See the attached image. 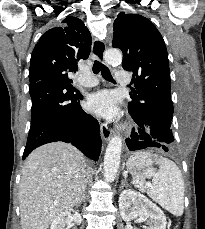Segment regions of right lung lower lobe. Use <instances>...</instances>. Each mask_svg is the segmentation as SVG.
I'll return each instance as SVG.
<instances>
[{
  "label": "right lung lower lobe",
  "instance_id": "obj_1",
  "mask_svg": "<svg viewBox=\"0 0 205 229\" xmlns=\"http://www.w3.org/2000/svg\"><path fill=\"white\" fill-rule=\"evenodd\" d=\"M32 99L31 126L23 159L43 144L72 143L84 155L97 160L101 150L99 123L80 106L82 95L55 79L29 86Z\"/></svg>",
  "mask_w": 205,
  "mask_h": 229
}]
</instances>
